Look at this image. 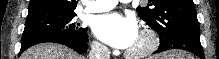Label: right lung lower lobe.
<instances>
[{
    "label": "right lung lower lobe",
    "instance_id": "98d812e1",
    "mask_svg": "<svg viewBox=\"0 0 219 59\" xmlns=\"http://www.w3.org/2000/svg\"><path fill=\"white\" fill-rule=\"evenodd\" d=\"M43 42H54V43H59V44H63L65 46H68L72 49H74L75 51L79 52V53H84L87 50V42H82V41H78V40H74V39H70V38H54V39H50V40H45ZM43 42H39V43H43ZM38 44V43H34V44H30L27 45L25 47H21L19 55L26 50L27 48Z\"/></svg>",
    "mask_w": 219,
    "mask_h": 59
}]
</instances>
